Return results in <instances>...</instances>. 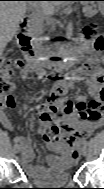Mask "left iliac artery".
<instances>
[{
	"label": "left iliac artery",
	"instance_id": "1",
	"mask_svg": "<svg viewBox=\"0 0 104 189\" xmlns=\"http://www.w3.org/2000/svg\"><path fill=\"white\" fill-rule=\"evenodd\" d=\"M87 146H88V142H87V141H84V142H83V148H87Z\"/></svg>",
	"mask_w": 104,
	"mask_h": 189
}]
</instances>
